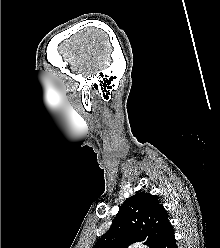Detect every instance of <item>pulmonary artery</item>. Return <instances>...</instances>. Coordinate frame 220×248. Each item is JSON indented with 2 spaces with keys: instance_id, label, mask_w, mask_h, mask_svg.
I'll list each match as a JSON object with an SVG mask.
<instances>
[{
  "instance_id": "1",
  "label": "pulmonary artery",
  "mask_w": 220,
  "mask_h": 248,
  "mask_svg": "<svg viewBox=\"0 0 220 248\" xmlns=\"http://www.w3.org/2000/svg\"><path fill=\"white\" fill-rule=\"evenodd\" d=\"M135 248H146V247L143 245H136Z\"/></svg>"
}]
</instances>
